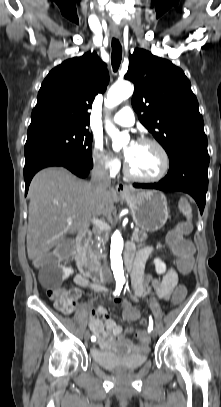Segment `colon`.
Masks as SVG:
<instances>
[{"mask_svg": "<svg viewBox=\"0 0 221 407\" xmlns=\"http://www.w3.org/2000/svg\"><path fill=\"white\" fill-rule=\"evenodd\" d=\"M180 211L186 217L177 229L169 233L167 237L168 244L173 252L178 256V269L181 273L187 274L190 272L193 264L192 255L195 254V247L192 239H184L192 231L191 209L187 202L183 201L180 204ZM72 247L71 240H60L59 246H52V252H42L35 259V268L45 266L46 261H70V249ZM48 295L55 301V306L58 310L67 313L75 304L74 297L64 291H48ZM188 287L183 283L177 285L173 292L170 293V304L173 308H178L180 304H185L188 298ZM138 305H126L121 311V316L129 322H137L142 319ZM145 323V321H143Z\"/></svg>", "mask_w": 221, "mask_h": 407, "instance_id": "1", "label": "colon"}]
</instances>
